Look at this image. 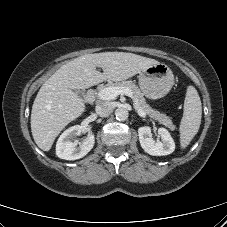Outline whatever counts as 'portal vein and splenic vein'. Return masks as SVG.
<instances>
[{
	"instance_id": "18ae733b",
	"label": "portal vein and splenic vein",
	"mask_w": 227,
	"mask_h": 227,
	"mask_svg": "<svg viewBox=\"0 0 227 227\" xmlns=\"http://www.w3.org/2000/svg\"><path fill=\"white\" fill-rule=\"evenodd\" d=\"M120 94L127 95L133 98V94L129 88L126 87H106L100 90L97 94L98 99L101 100H113ZM134 108L141 117H146V113L134 103Z\"/></svg>"
}]
</instances>
